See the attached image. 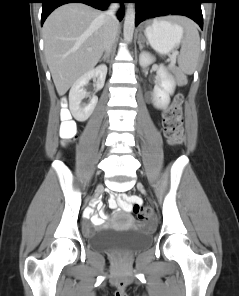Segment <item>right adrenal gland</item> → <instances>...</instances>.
<instances>
[{"mask_svg": "<svg viewBox=\"0 0 239 296\" xmlns=\"http://www.w3.org/2000/svg\"><path fill=\"white\" fill-rule=\"evenodd\" d=\"M109 57H110V52L106 53V54L102 57V59L100 60V62H101V61L109 62Z\"/></svg>", "mask_w": 239, "mask_h": 296, "instance_id": "right-adrenal-gland-1", "label": "right adrenal gland"}]
</instances>
